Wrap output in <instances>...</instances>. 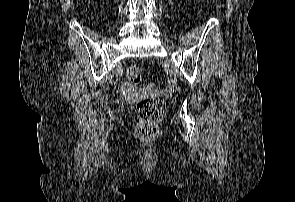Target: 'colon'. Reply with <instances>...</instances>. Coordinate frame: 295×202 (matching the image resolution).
I'll return each instance as SVG.
<instances>
[{
  "mask_svg": "<svg viewBox=\"0 0 295 202\" xmlns=\"http://www.w3.org/2000/svg\"><path fill=\"white\" fill-rule=\"evenodd\" d=\"M126 76L133 84L141 81V70L137 65H131L127 68ZM145 89L153 90L152 85H146ZM139 121L135 133L143 139H150L157 135L159 123L163 119L166 105L160 98H145L138 103Z\"/></svg>",
  "mask_w": 295,
  "mask_h": 202,
  "instance_id": "1",
  "label": "colon"
}]
</instances>
